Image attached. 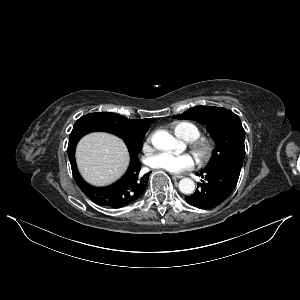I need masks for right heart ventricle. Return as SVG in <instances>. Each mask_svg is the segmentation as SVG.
<instances>
[{"mask_svg": "<svg viewBox=\"0 0 300 300\" xmlns=\"http://www.w3.org/2000/svg\"><path fill=\"white\" fill-rule=\"evenodd\" d=\"M175 133L187 140V141H194L200 136L199 128L191 123V122H179L174 127Z\"/></svg>", "mask_w": 300, "mask_h": 300, "instance_id": "1", "label": "right heart ventricle"}]
</instances>
